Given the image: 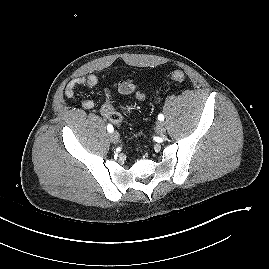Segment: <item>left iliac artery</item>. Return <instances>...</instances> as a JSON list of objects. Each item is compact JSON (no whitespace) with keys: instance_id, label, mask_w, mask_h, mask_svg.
<instances>
[{"instance_id":"1","label":"left iliac artery","mask_w":269,"mask_h":269,"mask_svg":"<svg viewBox=\"0 0 269 269\" xmlns=\"http://www.w3.org/2000/svg\"><path fill=\"white\" fill-rule=\"evenodd\" d=\"M158 119H159L160 121H163V120H164V115H163V114H159V115H158Z\"/></svg>"}]
</instances>
